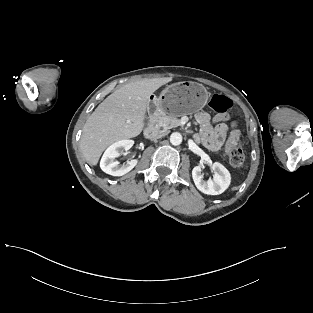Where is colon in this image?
Instances as JSON below:
<instances>
[{"label":"colon","mask_w":313,"mask_h":313,"mask_svg":"<svg viewBox=\"0 0 313 313\" xmlns=\"http://www.w3.org/2000/svg\"><path fill=\"white\" fill-rule=\"evenodd\" d=\"M209 106L216 112L224 113L232 107V101L225 95L214 94L210 99ZM226 154L233 167L240 168L244 165V153L234 136H230L227 142Z\"/></svg>","instance_id":"1"}]
</instances>
